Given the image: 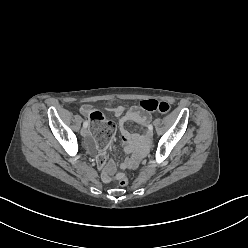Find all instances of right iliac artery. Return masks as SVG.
<instances>
[{
	"instance_id": "82829eb1",
	"label": "right iliac artery",
	"mask_w": 248,
	"mask_h": 248,
	"mask_svg": "<svg viewBox=\"0 0 248 248\" xmlns=\"http://www.w3.org/2000/svg\"><path fill=\"white\" fill-rule=\"evenodd\" d=\"M89 125V122L88 121H85L84 124H83V127L87 128Z\"/></svg>"
}]
</instances>
